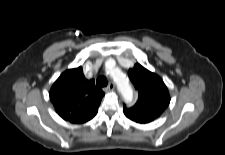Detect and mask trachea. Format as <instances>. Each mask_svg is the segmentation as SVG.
Segmentation results:
<instances>
[{
	"label": "trachea",
	"mask_w": 225,
	"mask_h": 155,
	"mask_svg": "<svg viewBox=\"0 0 225 155\" xmlns=\"http://www.w3.org/2000/svg\"><path fill=\"white\" fill-rule=\"evenodd\" d=\"M108 84L106 77L100 76L96 80V85L98 88L106 87Z\"/></svg>",
	"instance_id": "3493384b"
}]
</instances>
